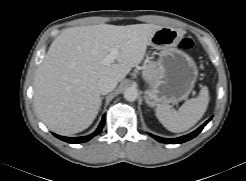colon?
<instances>
[{
    "instance_id": "obj_1",
    "label": "colon",
    "mask_w": 246,
    "mask_h": 181,
    "mask_svg": "<svg viewBox=\"0 0 246 181\" xmlns=\"http://www.w3.org/2000/svg\"><path fill=\"white\" fill-rule=\"evenodd\" d=\"M182 50H190L192 48V41L190 39H183L180 43Z\"/></svg>"
}]
</instances>
